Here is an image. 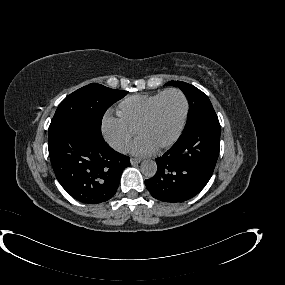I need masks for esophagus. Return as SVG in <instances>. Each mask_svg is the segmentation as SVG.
<instances>
[{
	"label": "esophagus",
	"instance_id": "34e87169",
	"mask_svg": "<svg viewBox=\"0 0 285 285\" xmlns=\"http://www.w3.org/2000/svg\"><path fill=\"white\" fill-rule=\"evenodd\" d=\"M130 162L132 165H135V164H138L141 162V159H138V158H131L130 159Z\"/></svg>",
	"mask_w": 285,
	"mask_h": 285
}]
</instances>
